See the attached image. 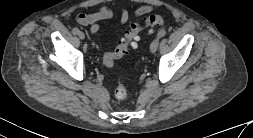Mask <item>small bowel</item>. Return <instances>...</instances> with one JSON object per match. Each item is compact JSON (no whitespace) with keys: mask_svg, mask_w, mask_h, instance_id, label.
I'll list each match as a JSON object with an SVG mask.
<instances>
[{"mask_svg":"<svg viewBox=\"0 0 253 138\" xmlns=\"http://www.w3.org/2000/svg\"><path fill=\"white\" fill-rule=\"evenodd\" d=\"M153 11V7L149 5H143L139 8H137L134 11L135 17H141L143 15L149 14ZM113 11L107 7L102 6L100 7L96 12L94 13H80L76 17V22L79 25L82 26H88L90 25V32L92 35H95L100 30V21L108 20L112 18ZM130 19V12L128 9L123 8L121 9L120 19H119V25H124L128 22Z\"/></svg>","mask_w":253,"mask_h":138,"instance_id":"1","label":"small bowel"}]
</instances>
